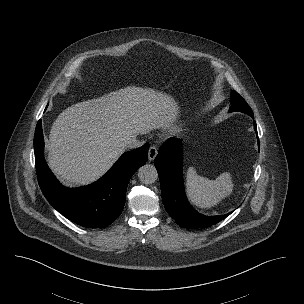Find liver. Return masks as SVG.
Here are the masks:
<instances>
[{
	"instance_id": "liver-1",
	"label": "liver",
	"mask_w": 304,
	"mask_h": 304,
	"mask_svg": "<svg viewBox=\"0 0 304 304\" xmlns=\"http://www.w3.org/2000/svg\"><path fill=\"white\" fill-rule=\"evenodd\" d=\"M178 105L166 93L127 86L74 104L54 121L47 161L66 185H86L101 177L125 151L132 134L169 128Z\"/></svg>"
}]
</instances>
